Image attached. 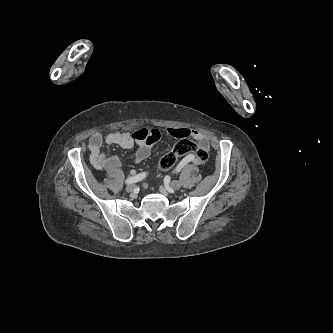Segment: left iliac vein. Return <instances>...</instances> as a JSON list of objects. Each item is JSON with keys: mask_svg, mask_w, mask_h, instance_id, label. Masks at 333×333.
Masks as SVG:
<instances>
[{"mask_svg": "<svg viewBox=\"0 0 333 333\" xmlns=\"http://www.w3.org/2000/svg\"><path fill=\"white\" fill-rule=\"evenodd\" d=\"M170 187H171V189H173V190H178V189L181 188V182H180V181H177V180L172 181V182L170 183Z\"/></svg>", "mask_w": 333, "mask_h": 333, "instance_id": "1", "label": "left iliac vein"}]
</instances>
